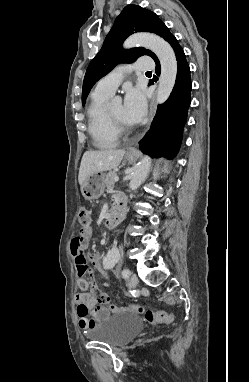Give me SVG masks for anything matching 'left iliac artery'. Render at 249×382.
I'll list each match as a JSON object with an SVG mask.
<instances>
[{
  "label": "left iliac artery",
  "instance_id": "left-iliac-artery-1",
  "mask_svg": "<svg viewBox=\"0 0 249 382\" xmlns=\"http://www.w3.org/2000/svg\"><path fill=\"white\" fill-rule=\"evenodd\" d=\"M130 275H131V272H130L129 269H124V270L122 271V276H123V278H128Z\"/></svg>",
  "mask_w": 249,
  "mask_h": 382
}]
</instances>
